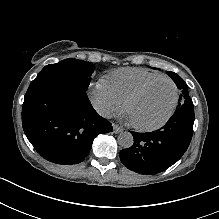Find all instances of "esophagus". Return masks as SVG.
<instances>
[{
  "label": "esophagus",
  "mask_w": 219,
  "mask_h": 219,
  "mask_svg": "<svg viewBox=\"0 0 219 219\" xmlns=\"http://www.w3.org/2000/svg\"><path fill=\"white\" fill-rule=\"evenodd\" d=\"M123 128L121 127V126H119V125H117V124H114L113 125V132L115 133V134H119V133H121V132H123Z\"/></svg>",
  "instance_id": "1"
}]
</instances>
